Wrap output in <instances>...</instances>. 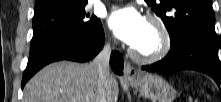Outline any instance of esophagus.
<instances>
[{
    "label": "esophagus",
    "mask_w": 221,
    "mask_h": 102,
    "mask_svg": "<svg viewBox=\"0 0 221 102\" xmlns=\"http://www.w3.org/2000/svg\"><path fill=\"white\" fill-rule=\"evenodd\" d=\"M138 76V73L134 67H132L128 62H125L124 65V78L126 79H135Z\"/></svg>",
    "instance_id": "esophagus-1"
}]
</instances>
